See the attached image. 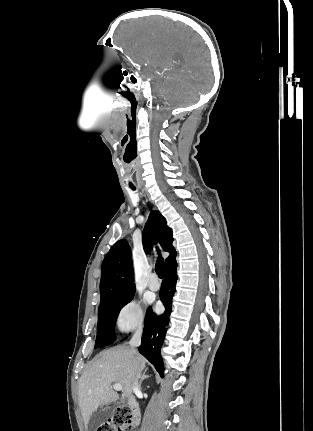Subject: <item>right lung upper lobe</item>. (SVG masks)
Wrapping results in <instances>:
<instances>
[{"label":"right lung upper lobe","instance_id":"obj_1","mask_svg":"<svg viewBox=\"0 0 313 431\" xmlns=\"http://www.w3.org/2000/svg\"><path fill=\"white\" fill-rule=\"evenodd\" d=\"M172 229L159 211H152L143 231V246L146 252L152 248V237L156 236L164 251L170 253L166 264L176 255L172 245ZM135 292L134 271L129 243L119 240L103 260L101 269V302L123 297Z\"/></svg>","mask_w":313,"mask_h":431}]
</instances>
